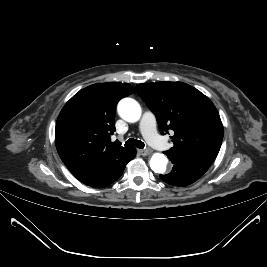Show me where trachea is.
Instances as JSON below:
<instances>
[{
    "label": "trachea",
    "mask_w": 267,
    "mask_h": 267,
    "mask_svg": "<svg viewBox=\"0 0 267 267\" xmlns=\"http://www.w3.org/2000/svg\"><path fill=\"white\" fill-rule=\"evenodd\" d=\"M125 146L143 149L145 144L141 140L130 138L125 142Z\"/></svg>",
    "instance_id": "obj_1"
}]
</instances>
